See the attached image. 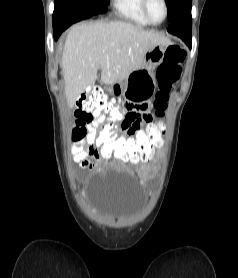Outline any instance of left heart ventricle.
<instances>
[{
    "mask_svg": "<svg viewBox=\"0 0 238 278\" xmlns=\"http://www.w3.org/2000/svg\"><path fill=\"white\" fill-rule=\"evenodd\" d=\"M148 9L154 20L160 21L164 17L165 10L161 0H149Z\"/></svg>",
    "mask_w": 238,
    "mask_h": 278,
    "instance_id": "b2bd125f",
    "label": "left heart ventricle"
}]
</instances>
